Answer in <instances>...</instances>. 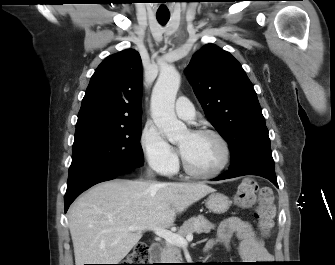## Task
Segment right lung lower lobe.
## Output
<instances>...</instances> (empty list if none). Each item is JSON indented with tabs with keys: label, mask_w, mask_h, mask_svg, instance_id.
Returning <instances> with one entry per match:
<instances>
[{
	"label": "right lung lower lobe",
	"mask_w": 335,
	"mask_h": 265,
	"mask_svg": "<svg viewBox=\"0 0 335 265\" xmlns=\"http://www.w3.org/2000/svg\"><path fill=\"white\" fill-rule=\"evenodd\" d=\"M134 169H119L112 167H93L68 177L67 191L64 196L65 212L70 204L86 189L103 181L116 178L120 174Z\"/></svg>",
	"instance_id": "obj_1"
}]
</instances>
